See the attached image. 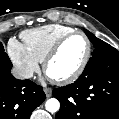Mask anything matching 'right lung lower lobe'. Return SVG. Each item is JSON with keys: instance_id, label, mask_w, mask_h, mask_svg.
<instances>
[{"instance_id": "98d812e1", "label": "right lung lower lobe", "mask_w": 119, "mask_h": 119, "mask_svg": "<svg viewBox=\"0 0 119 119\" xmlns=\"http://www.w3.org/2000/svg\"><path fill=\"white\" fill-rule=\"evenodd\" d=\"M45 98L41 86L15 79L11 68L0 66V119H29Z\"/></svg>"}]
</instances>
